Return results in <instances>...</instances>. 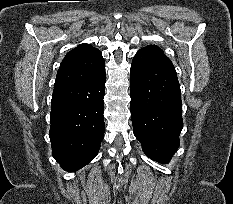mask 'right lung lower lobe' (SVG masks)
Wrapping results in <instances>:
<instances>
[{
    "mask_svg": "<svg viewBox=\"0 0 233 204\" xmlns=\"http://www.w3.org/2000/svg\"><path fill=\"white\" fill-rule=\"evenodd\" d=\"M105 64L89 79L54 90L50 140L54 159L76 171L98 154L104 137Z\"/></svg>",
    "mask_w": 233,
    "mask_h": 204,
    "instance_id": "98d812e1",
    "label": "right lung lower lobe"
}]
</instances>
